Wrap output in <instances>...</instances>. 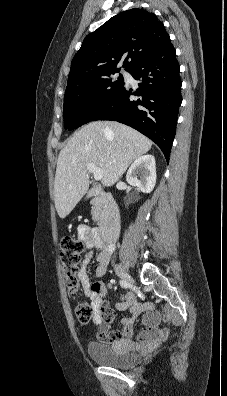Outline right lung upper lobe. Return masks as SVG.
Returning <instances> with one entry per match:
<instances>
[{
	"mask_svg": "<svg viewBox=\"0 0 227 396\" xmlns=\"http://www.w3.org/2000/svg\"><path fill=\"white\" fill-rule=\"evenodd\" d=\"M168 42L170 37L154 13L139 8L126 10L86 36L72 60L67 87L120 70L116 66L122 59V67L128 71Z\"/></svg>",
	"mask_w": 227,
	"mask_h": 396,
	"instance_id": "obj_1",
	"label": "right lung upper lobe"
}]
</instances>
